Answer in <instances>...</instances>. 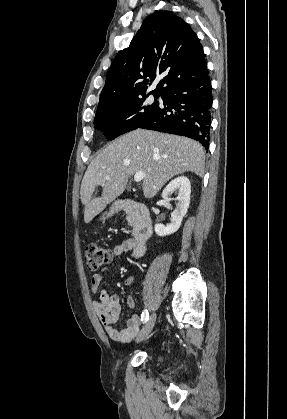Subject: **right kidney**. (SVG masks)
<instances>
[{
    "instance_id": "1",
    "label": "right kidney",
    "mask_w": 287,
    "mask_h": 419,
    "mask_svg": "<svg viewBox=\"0 0 287 419\" xmlns=\"http://www.w3.org/2000/svg\"><path fill=\"white\" fill-rule=\"evenodd\" d=\"M174 192H178V203L175 210L171 213V223L167 226L158 223L154 228L155 233L160 237L173 234L180 228L190 204L191 185L189 179L185 176H180L172 180L163 190L162 198L167 199Z\"/></svg>"
}]
</instances>
